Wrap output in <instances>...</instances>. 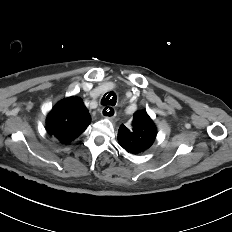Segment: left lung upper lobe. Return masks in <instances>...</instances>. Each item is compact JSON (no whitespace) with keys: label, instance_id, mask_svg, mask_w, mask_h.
Masks as SVG:
<instances>
[{"label":"left lung upper lobe","instance_id":"5c2ea615","mask_svg":"<svg viewBox=\"0 0 232 232\" xmlns=\"http://www.w3.org/2000/svg\"><path fill=\"white\" fill-rule=\"evenodd\" d=\"M133 116L131 129L123 124L120 126L118 142L128 153L139 154L151 147L157 129L146 111H137Z\"/></svg>","mask_w":232,"mask_h":232}]
</instances>
